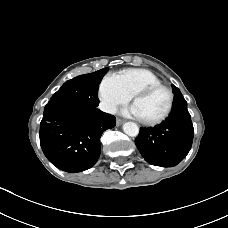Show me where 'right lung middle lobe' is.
<instances>
[{"label":"right lung middle lobe","instance_id":"dd1d6c3e","mask_svg":"<svg viewBox=\"0 0 228 228\" xmlns=\"http://www.w3.org/2000/svg\"><path fill=\"white\" fill-rule=\"evenodd\" d=\"M108 70L104 68L68 80L53 94L49 103H63L79 109L96 108L99 84Z\"/></svg>","mask_w":228,"mask_h":228}]
</instances>
